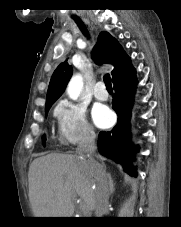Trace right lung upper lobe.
<instances>
[{"label":"right lung upper lobe","mask_w":181,"mask_h":227,"mask_svg":"<svg viewBox=\"0 0 181 227\" xmlns=\"http://www.w3.org/2000/svg\"><path fill=\"white\" fill-rule=\"evenodd\" d=\"M93 59L98 63H110L114 66L112 78L118 72L127 57L118 42L107 32L99 34L97 44L92 54ZM72 75V66L67 61L61 63L54 71L47 91L46 105L53 104L64 92ZM45 105V106H46Z\"/></svg>","instance_id":"obj_1"}]
</instances>
